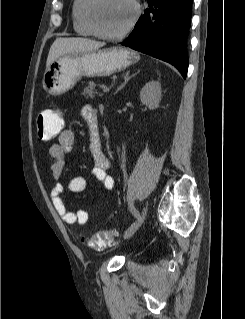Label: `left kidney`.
Instances as JSON below:
<instances>
[{"instance_id": "left-kidney-1", "label": "left kidney", "mask_w": 245, "mask_h": 319, "mask_svg": "<svg viewBox=\"0 0 245 319\" xmlns=\"http://www.w3.org/2000/svg\"><path fill=\"white\" fill-rule=\"evenodd\" d=\"M161 96V85L158 81L146 83L140 91L141 102L151 110L159 107Z\"/></svg>"}]
</instances>
